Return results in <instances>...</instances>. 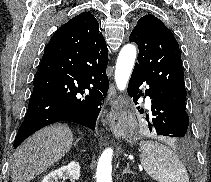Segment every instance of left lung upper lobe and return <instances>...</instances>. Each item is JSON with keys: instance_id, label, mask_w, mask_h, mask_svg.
Here are the masks:
<instances>
[{"instance_id": "1", "label": "left lung upper lobe", "mask_w": 211, "mask_h": 182, "mask_svg": "<svg viewBox=\"0 0 211 182\" xmlns=\"http://www.w3.org/2000/svg\"><path fill=\"white\" fill-rule=\"evenodd\" d=\"M129 40L139 48V69L165 96L186 110V89L178 42L163 22L153 15L140 18Z\"/></svg>"}]
</instances>
